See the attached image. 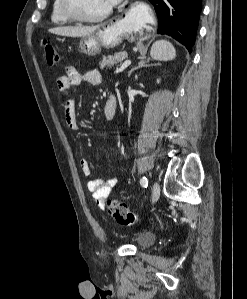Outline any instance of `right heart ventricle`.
<instances>
[{
  "label": "right heart ventricle",
  "mask_w": 247,
  "mask_h": 299,
  "mask_svg": "<svg viewBox=\"0 0 247 299\" xmlns=\"http://www.w3.org/2000/svg\"><path fill=\"white\" fill-rule=\"evenodd\" d=\"M50 18L52 23L56 25H66L71 22V20L62 12L61 0L53 1Z\"/></svg>",
  "instance_id": "e07e8e85"
}]
</instances>
